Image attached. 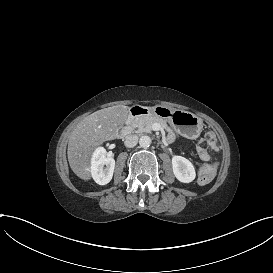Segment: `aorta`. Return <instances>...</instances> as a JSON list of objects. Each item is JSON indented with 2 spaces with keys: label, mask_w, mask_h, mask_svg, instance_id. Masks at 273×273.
Returning <instances> with one entry per match:
<instances>
[{
  "label": "aorta",
  "mask_w": 273,
  "mask_h": 273,
  "mask_svg": "<svg viewBox=\"0 0 273 273\" xmlns=\"http://www.w3.org/2000/svg\"><path fill=\"white\" fill-rule=\"evenodd\" d=\"M139 145L142 148H147L151 145V138L147 135L141 136L139 139Z\"/></svg>",
  "instance_id": "aorta-1"
}]
</instances>
